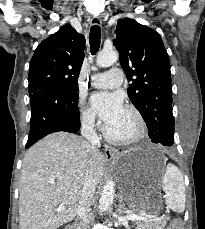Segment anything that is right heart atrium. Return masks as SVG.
<instances>
[{
	"label": "right heart atrium",
	"instance_id": "right-heart-atrium-1",
	"mask_svg": "<svg viewBox=\"0 0 205 229\" xmlns=\"http://www.w3.org/2000/svg\"><path fill=\"white\" fill-rule=\"evenodd\" d=\"M80 122L83 126L87 128H94L97 125V119L95 113L86 107L83 103H80L79 109Z\"/></svg>",
	"mask_w": 205,
	"mask_h": 229
}]
</instances>
